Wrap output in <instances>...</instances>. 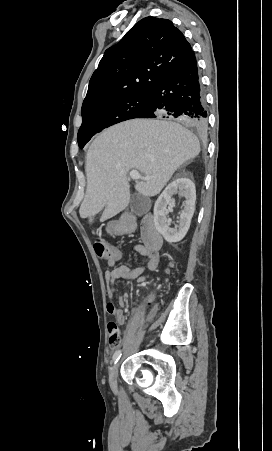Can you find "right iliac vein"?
Listing matches in <instances>:
<instances>
[{"instance_id": "right-iliac-vein-1", "label": "right iliac vein", "mask_w": 272, "mask_h": 451, "mask_svg": "<svg viewBox=\"0 0 272 451\" xmlns=\"http://www.w3.org/2000/svg\"><path fill=\"white\" fill-rule=\"evenodd\" d=\"M118 375V364H116L109 372V384L112 388L116 387Z\"/></svg>"}]
</instances>
